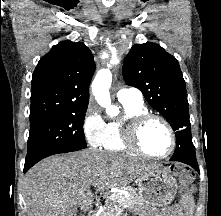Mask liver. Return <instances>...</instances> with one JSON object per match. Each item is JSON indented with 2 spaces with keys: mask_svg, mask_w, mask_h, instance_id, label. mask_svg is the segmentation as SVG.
Here are the masks:
<instances>
[{
  "mask_svg": "<svg viewBox=\"0 0 221 216\" xmlns=\"http://www.w3.org/2000/svg\"><path fill=\"white\" fill-rule=\"evenodd\" d=\"M159 165L85 149L48 157L26 174L23 197L28 216H77L92 208L91 185L98 191L124 187ZM95 184V185H93Z\"/></svg>",
  "mask_w": 221,
  "mask_h": 216,
  "instance_id": "1",
  "label": "liver"
}]
</instances>
